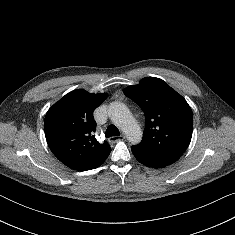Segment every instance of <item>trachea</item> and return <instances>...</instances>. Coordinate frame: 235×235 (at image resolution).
I'll list each match as a JSON object with an SVG mask.
<instances>
[{
    "label": "trachea",
    "mask_w": 235,
    "mask_h": 235,
    "mask_svg": "<svg viewBox=\"0 0 235 235\" xmlns=\"http://www.w3.org/2000/svg\"><path fill=\"white\" fill-rule=\"evenodd\" d=\"M106 137L119 136L120 132L115 125H109L105 132Z\"/></svg>",
    "instance_id": "trachea-1"
}]
</instances>
